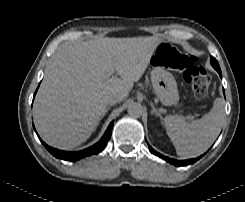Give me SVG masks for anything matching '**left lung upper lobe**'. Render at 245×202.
Here are the masks:
<instances>
[{
	"label": "left lung upper lobe",
	"mask_w": 245,
	"mask_h": 202,
	"mask_svg": "<svg viewBox=\"0 0 245 202\" xmlns=\"http://www.w3.org/2000/svg\"><path fill=\"white\" fill-rule=\"evenodd\" d=\"M210 63L214 67V69L217 70V72L220 74L221 70H220V67H219L217 60L215 58L211 57Z\"/></svg>",
	"instance_id": "obj_1"
}]
</instances>
